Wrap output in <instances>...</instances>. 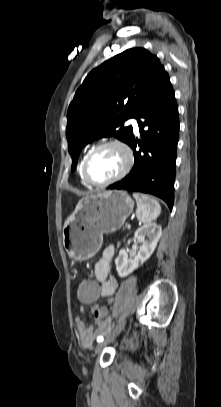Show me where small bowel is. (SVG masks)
Instances as JSON below:
<instances>
[{"instance_id":"obj_1","label":"small bowel","mask_w":221,"mask_h":407,"mask_svg":"<svg viewBox=\"0 0 221 407\" xmlns=\"http://www.w3.org/2000/svg\"><path fill=\"white\" fill-rule=\"evenodd\" d=\"M115 255V247H106L100 259L95 265L94 273L95 277L98 279V283L101 284L100 297H106L109 303L114 300V294L118 288L117 279L110 275V266L112 259ZM98 308L95 306L93 311ZM83 312V309H81ZM104 319V318H103ZM75 324L78 330V340L83 348H90L95 340V338L104 333L108 328V323L105 320L96 321V327L92 325H87L80 317L75 318Z\"/></svg>"}]
</instances>
